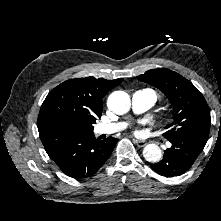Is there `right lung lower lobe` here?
<instances>
[{"instance_id":"obj_1","label":"right lung lower lobe","mask_w":221,"mask_h":221,"mask_svg":"<svg viewBox=\"0 0 221 221\" xmlns=\"http://www.w3.org/2000/svg\"><path fill=\"white\" fill-rule=\"evenodd\" d=\"M40 139L49 157L62 172L72 178L95 174L111 155L118 139L99 141L91 133L63 127L38 128Z\"/></svg>"}]
</instances>
